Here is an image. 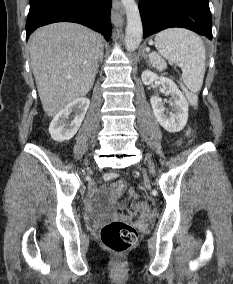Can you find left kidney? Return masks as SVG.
<instances>
[{"mask_svg":"<svg viewBox=\"0 0 233 284\" xmlns=\"http://www.w3.org/2000/svg\"><path fill=\"white\" fill-rule=\"evenodd\" d=\"M141 78L145 85H150L154 81L160 80V84L166 94L171 96V100L169 101L171 111L164 107L161 98L154 95L150 98L154 116L159 124L168 132L174 133L181 131L188 120L189 104L184 94L171 79L164 76H158L152 71H143Z\"/></svg>","mask_w":233,"mask_h":284,"instance_id":"1","label":"left kidney"}]
</instances>
